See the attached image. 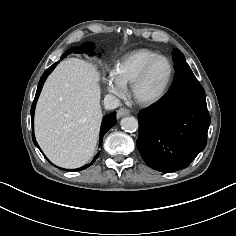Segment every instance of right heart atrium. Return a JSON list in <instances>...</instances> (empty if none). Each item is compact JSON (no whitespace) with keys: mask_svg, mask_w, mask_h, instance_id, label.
Listing matches in <instances>:
<instances>
[{"mask_svg":"<svg viewBox=\"0 0 236 236\" xmlns=\"http://www.w3.org/2000/svg\"><path fill=\"white\" fill-rule=\"evenodd\" d=\"M106 89L111 94L120 96L124 93L125 87L110 73L106 78Z\"/></svg>","mask_w":236,"mask_h":236,"instance_id":"obj_1","label":"right heart atrium"}]
</instances>
